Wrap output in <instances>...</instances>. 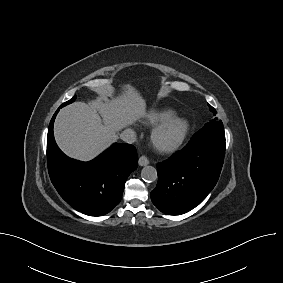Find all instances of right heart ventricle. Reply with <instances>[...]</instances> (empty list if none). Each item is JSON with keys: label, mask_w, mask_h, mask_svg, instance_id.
I'll list each match as a JSON object with an SVG mask.
<instances>
[{"label": "right heart ventricle", "mask_w": 283, "mask_h": 283, "mask_svg": "<svg viewBox=\"0 0 283 283\" xmlns=\"http://www.w3.org/2000/svg\"><path fill=\"white\" fill-rule=\"evenodd\" d=\"M174 115V111L169 109L152 110L145 116L144 122L148 126H156L163 120Z\"/></svg>", "instance_id": "e07e8e85"}]
</instances>
